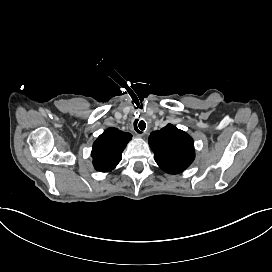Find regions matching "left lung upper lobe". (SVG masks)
Returning <instances> with one entry per match:
<instances>
[{"label":"left lung upper lobe","instance_id":"left-lung-upper-lobe-1","mask_svg":"<svg viewBox=\"0 0 272 272\" xmlns=\"http://www.w3.org/2000/svg\"><path fill=\"white\" fill-rule=\"evenodd\" d=\"M149 145L158 166L169 174L183 172L195 158L193 139L172 124L152 132Z\"/></svg>","mask_w":272,"mask_h":272}]
</instances>
